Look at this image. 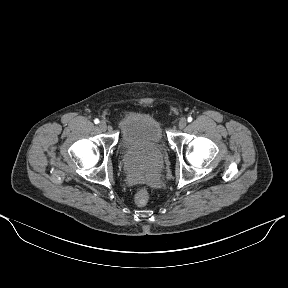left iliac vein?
Returning <instances> with one entry per match:
<instances>
[{
    "mask_svg": "<svg viewBox=\"0 0 288 288\" xmlns=\"http://www.w3.org/2000/svg\"><path fill=\"white\" fill-rule=\"evenodd\" d=\"M187 125V120L185 118H181L178 122V127L180 129H184Z\"/></svg>",
    "mask_w": 288,
    "mask_h": 288,
    "instance_id": "4c4485c4",
    "label": "left iliac vein"
}]
</instances>
